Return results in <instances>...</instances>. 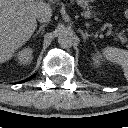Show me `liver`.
Segmentation results:
<instances>
[{
  "mask_svg": "<svg viewBox=\"0 0 128 128\" xmlns=\"http://www.w3.org/2000/svg\"><path fill=\"white\" fill-rule=\"evenodd\" d=\"M45 10L51 9L44 0H0V63L29 40L37 27V15Z\"/></svg>",
  "mask_w": 128,
  "mask_h": 128,
  "instance_id": "obj_1",
  "label": "liver"
}]
</instances>
